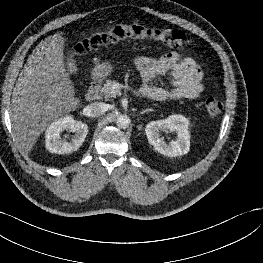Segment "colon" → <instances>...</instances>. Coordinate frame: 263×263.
<instances>
[{"instance_id": "5ec220e1", "label": "colon", "mask_w": 263, "mask_h": 263, "mask_svg": "<svg viewBox=\"0 0 263 263\" xmlns=\"http://www.w3.org/2000/svg\"><path fill=\"white\" fill-rule=\"evenodd\" d=\"M128 38L155 40L180 50L187 48L190 43L185 33L177 29L150 28L136 23H118L97 29L83 36L77 42L75 52L80 55L101 45ZM222 108V103L215 98H208L204 104L205 113L211 119L216 118L221 113Z\"/></svg>"}]
</instances>
